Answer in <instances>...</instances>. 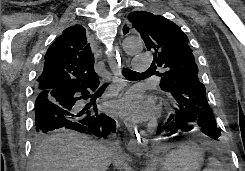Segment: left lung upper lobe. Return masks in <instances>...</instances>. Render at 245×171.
Wrapping results in <instances>:
<instances>
[{"instance_id":"5c2ea615","label":"left lung upper lobe","mask_w":245,"mask_h":171,"mask_svg":"<svg viewBox=\"0 0 245 171\" xmlns=\"http://www.w3.org/2000/svg\"><path fill=\"white\" fill-rule=\"evenodd\" d=\"M128 20L141 35L147 50L153 52L152 65L166 68L159 74L162 90L168 91L181 79L200 81L189 40L179 26L163 16L145 11L130 13ZM128 30L123 28L125 34Z\"/></svg>"}]
</instances>
